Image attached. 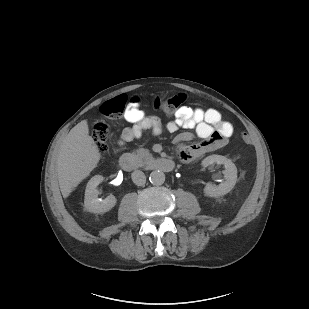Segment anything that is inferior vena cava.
Returning <instances> with one entry per match:
<instances>
[{
  "label": "inferior vena cava",
  "mask_w": 309,
  "mask_h": 309,
  "mask_svg": "<svg viewBox=\"0 0 309 309\" xmlns=\"http://www.w3.org/2000/svg\"><path fill=\"white\" fill-rule=\"evenodd\" d=\"M132 177V181L138 185V186H143L146 182V176L145 174L140 171V170H136L131 174Z\"/></svg>",
  "instance_id": "602c4592"
}]
</instances>
